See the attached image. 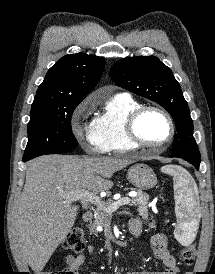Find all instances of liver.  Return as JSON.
<instances>
[{
    "mask_svg": "<svg viewBox=\"0 0 215 274\" xmlns=\"http://www.w3.org/2000/svg\"><path fill=\"white\" fill-rule=\"evenodd\" d=\"M133 161L120 157L42 156L27 163L26 182L13 217L15 247L40 274L77 217L69 192L108 191L112 175Z\"/></svg>",
    "mask_w": 215,
    "mask_h": 274,
    "instance_id": "obj_1",
    "label": "liver"
}]
</instances>
